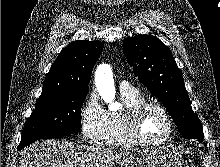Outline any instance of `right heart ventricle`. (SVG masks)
Masks as SVG:
<instances>
[{"label": "right heart ventricle", "mask_w": 220, "mask_h": 167, "mask_svg": "<svg viewBox=\"0 0 220 167\" xmlns=\"http://www.w3.org/2000/svg\"><path fill=\"white\" fill-rule=\"evenodd\" d=\"M124 109L107 112L106 126L101 144L106 146H130L135 143L128 137L125 127V113L134 105L145 101L143 96L135 90L121 91Z\"/></svg>", "instance_id": "1"}]
</instances>
